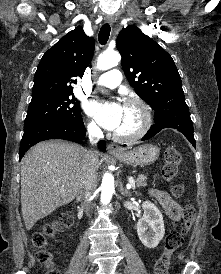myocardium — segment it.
I'll use <instances>...</instances> for the list:
<instances>
[{"label":"myocardium","mask_w":221,"mask_h":274,"mask_svg":"<svg viewBox=\"0 0 221 274\" xmlns=\"http://www.w3.org/2000/svg\"><path fill=\"white\" fill-rule=\"evenodd\" d=\"M125 106L134 105L137 106L142 114V124L141 126L132 133H120L115 131L114 137L117 140L124 141V142H133L141 139L150 129L152 125V111L150 106L142 99L138 97H129L124 101Z\"/></svg>","instance_id":"1"}]
</instances>
